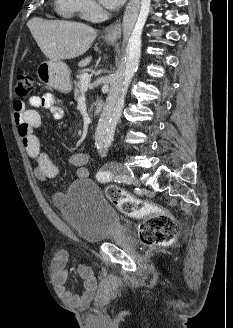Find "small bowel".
Here are the masks:
<instances>
[{"mask_svg": "<svg viewBox=\"0 0 233 328\" xmlns=\"http://www.w3.org/2000/svg\"><path fill=\"white\" fill-rule=\"evenodd\" d=\"M40 108L46 110L55 120H59L63 116V110L59 106L58 100L51 93L32 96L27 103L17 100L13 104L18 134L28 156L35 162L34 175L36 179L44 182L56 177L59 168L42 150L40 141L35 134V131L41 126V116L38 112ZM88 161L86 154L76 153L71 156L70 162L76 169V178L85 179L88 177ZM68 261V253L63 250L58 251L52 259L51 274L56 292L65 302L77 305L85 304L93 299L97 290V280L90 266L79 264L77 271L83 279L82 293L68 289L66 286Z\"/></svg>", "mask_w": 233, "mask_h": 328, "instance_id": "obj_1", "label": "small bowel"}]
</instances>
